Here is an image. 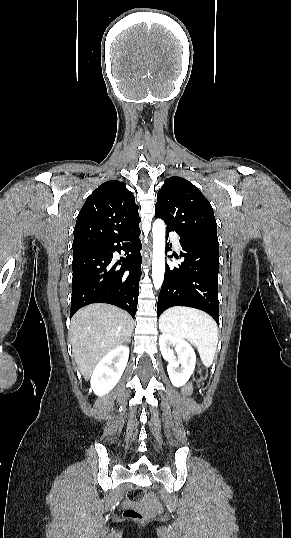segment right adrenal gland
Instances as JSON below:
<instances>
[{"instance_id":"obj_1","label":"right adrenal gland","mask_w":291,"mask_h":538,"mask_svg":"<svg viewBox=\"0 0 291 538\" xmlns=\"http://www.w3.org/2000/svg\"><path fill=\"white\" fill-rule=\"evenodd\" d=\"M130 342H131V339H129V340L127 341V343H130Z\"/></svg>"}]
</instances>
